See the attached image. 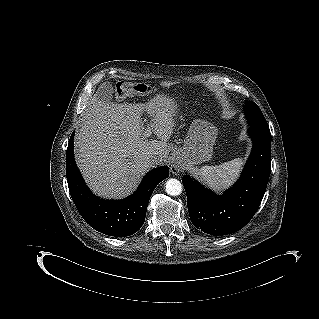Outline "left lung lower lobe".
<instances>
[{"instance_id":"left-lung-lower-lobe-1","label":"left lung lower lobe","mask_w":319,"mask_h":319,"mask_svg":"<svg viewBox=\"0 0 319 319\" xmlns=\"http://www.w3.org/2000/svg\"><path fill=\"white\" fill-rule=\"evenodd\" d=\"M251 155L236 184L217 196L185 175L189 216L193 225L210 235H227L243 228L254 216L264 196L271 172L269 128L250 126Z\"/></svg>"}]
</instances>
